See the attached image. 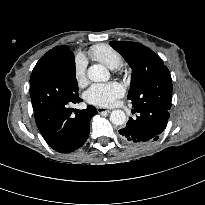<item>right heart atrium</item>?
<instances>
[{
	"label": "right heart atrium",
	"instance_id": "obj_1",
	"mask_svg": "<svg viewBox=\"0 0 205 205\" xmlns=\"http://www.w3.org/2000/svg\"><path fill=\"white\" fill-rule=\"evenodd\" d=\"M73 72L76 83L83 86L87 83V59L82 54H77L74 58Z\"/></svg>",
	"mask_w": 205,
	"mask_h": 205
}]
</instances>
